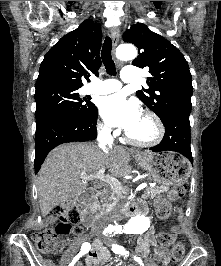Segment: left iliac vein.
I'll return each instance as SVG.
<instances>
[{
	"label": "left iliac vein",
	"mask_w": 221,
	"mask_h": 266,
	"mask_svg": "<svg viewBox=\"0 0 221 266\" xmlns=\"http://www.w3.org/2000/svg\"><path fill=\"white\" fill-rule=\"evenodd\" d=\"M102 250H105V251H106V249H105V248H103V247H102Z\"/></svg>",
	"instance_id": "4c4485c4"
}]
</instances>
